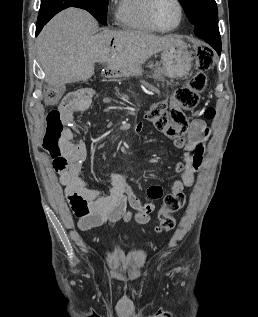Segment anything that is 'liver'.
Instances as JSON below:
<instances>
[{
    "label": "liver",
    "instance_id": "obj_1",
    "mask_svg": "<svg viewBox=\"0 0 258 317\" xmlns=\"http://www.w3.org/2000/svg\"><path fill=\"white\" fill-rule=\"evenodd\" d=\"M92 14L66 8L45 24L37 36V52L51 86L91 78L95 62L110 70H135L152 54L183 42L176 34L155 36L145 30H101ZM97 32V34H95Z\"/></svg>",
    "mask_w": 258,
    "mask_h": 317
}]
</instances>
